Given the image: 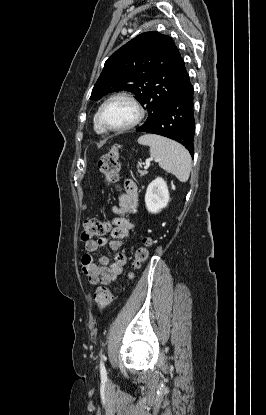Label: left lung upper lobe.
Listing matches in <instances>:
<instances>
[{"instance_id": "1", "label": "left lung upper lobe", "mask_w": 266, "mask_h": 415, "mask_svg": "<svg viewBox=\"0 0 266 415\" xmlns=\"http://www.w3.org/2000/svg\"><path fill=\"white\" fill-rule=\"evenodd\" d=\"M187 70L171 37L145 32L114 52L92 90L91 100L114 91H130L148 112L142 125L157 119L165 105L181 88Z\"/></svg>"}]
</instances>
